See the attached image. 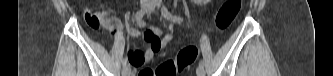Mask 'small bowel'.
I'll return each instance as SVG.
<instances>
[{"mask_svg":"<svg viewBox=\"0 0 333 76\" xmlns=\"http://www.w3.org/2000/svg\"><path fill=\"white\" fill-rule=\"evenodd\" d=\"M84 19L89 26L96 30L100 28L101 24H103L109 30L110 35L114 39L116 38L119 29L122 27L120 19L110 16L109 10H102L93 14L88 9H85ZM137 24L140 27H146L143 21H137ZM123 28L133 37H138L141 34L136 28H133L128 24H124ZM161 34L162 29L159 27H146L144 38L148 41L147 49L144 52L138 50L127 51V56L130 57V61L135 68L142 67L146 62L152 59L156 53L164 49L167 44L173 40V35L171 34L164 36L163 39H159L158 36ZM146 69L147 68H143L141 70Z\"/></svg>","mask_w":333,"mask_h":76,"instance_id":"1","label":"small bowel"}]
</instances>
